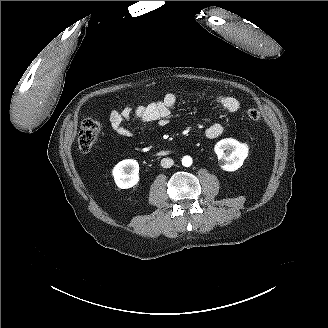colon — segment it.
<instances>
[{"label":"colon","mask_w":328,"mask_h":328,"mask_svg":"<svg viewBox=\"0 0 328 328\" xmlns=\"http://www.w3.org/2000/svg\"><path fill=\"white\" fill-rule=\"evenodd\" d=\"M247 117L254 122L261 119L260 112L251 108L247 111ZM100 131V124L93 119H86L82 122L78 134V147L82 152H88L93 147Z\"/></svg>","instance_id":"colon-1"}]
</instances>
